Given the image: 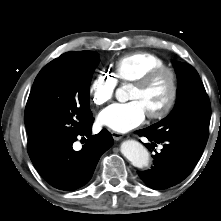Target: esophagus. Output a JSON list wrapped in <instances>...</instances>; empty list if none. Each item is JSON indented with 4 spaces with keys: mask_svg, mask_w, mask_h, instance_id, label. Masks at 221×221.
<instances>
[{
    "mask_svg": "<svg viewBox=\"0 0 221 221\" xmlns=\"http://www.w3.org/2000/svg\"><path fill=\"white\" fill-rule=\"evenodd\" d=\"M111 135H112L113 139L116 141L120 140L123 137L122 133L115 132V131L111 132Z\"/></svg>",
    "mask_w": 221,
    "mask_h": 221,
    "instance_id": "esophagus-1",
    "label": "esophagus"
}]
</instances>
